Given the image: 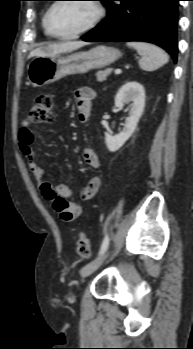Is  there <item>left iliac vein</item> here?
<instances>
[{
	"label": "left iliac vein",
	"instance_id": "left-iliac-vein-1",
	"mask_svg": "<svg viewBox=\"0 0 193 349\" xmlns=\"http://www.w3.org/2000/svg\"><path fill=\"white\" fill-rule=\"evenodd\" d=\"M110 254V250L103 253L101 256H99L97 259L93 260L89 264L85 265L81 270V275L83 277H87L93 272H95L108 258Z\"/></svg>",
	"mask_w": 193,
	"mask_h": 349
}]
</instances>
